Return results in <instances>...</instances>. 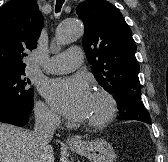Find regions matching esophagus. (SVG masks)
<instances>
[{"label": "esophagus", "mask_w": 168, "mask_h": 162, "mask_svg": "<svg viewBox=\"0 0 168 162\" xmlns=\"http://www.w3.org/2000/svg\"><path fill=\"white\" fill-rule=\"evenodd\" d=\"M66 143L69 145H76L81 143V139L77 136H69L66 140Z\"/></svg>", "instance_id": "1"}]
</instances>
